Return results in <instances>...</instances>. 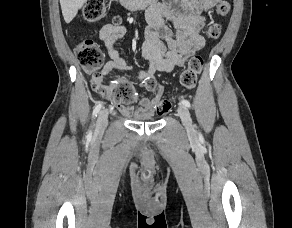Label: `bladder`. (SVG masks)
Wrapping results in <instances>:
<instances>
[{
    "instance_id": "bladder-1",
    "label": "bladder",
    "mask_w": 292,
    "mask_h": 228,
    "mask_svg": "<svg viewBox=\"0 0 292 228\" xmlns=\"http://www.w3.org/2000/svg\"><path fill=\"white\" fill-rule=\"evenodd\" d=\"M133 119L139 122H151L155 120V118L152 116H142V115L134 116Z\"/></svg>"
}]
</instances>
